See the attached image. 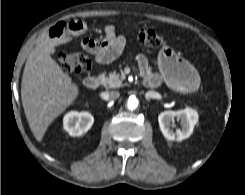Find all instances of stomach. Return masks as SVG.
Here are the masks:
<instances>
[{
	"label": "stomach",
	"instance_id": "1",
	"mask_svg": "<svg viewBox=\"0 0 245 195\" xmlns=\"http://www.w3.org/2000/svg\"><path fill=\"white\" fill-rule=\"evenodd\" d=\"M158 66L166 83L182 93L194 92L200 84L197 71L184 59H181L169 47H163L158 56Z\"/></svg>",
	"mask_w": 245,
	"mask_h": 195
}]
</instances>
